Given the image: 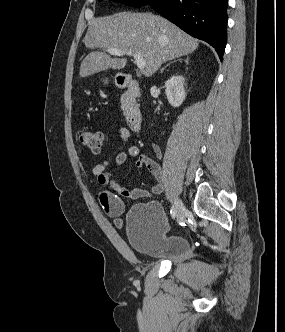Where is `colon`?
<instances>
[{
	"instance_id": "1",
	"label": "colon",
	"mask_w": 285,
	"mask_h": 332,
	"mask_svg": "<svg viewBox=\"0 0 285 332\" xmlns=\"http://www.w3.org/2000/svg\"><path fill=\"white\" fill-rule=\"evenodd\" d=\"M79 139L83 146L93 152H99L105 142L104 134L96 130L81 131L79 134Z\"/></svg>"
}]
</instances>
